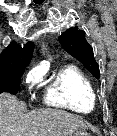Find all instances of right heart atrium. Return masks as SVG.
<instances>
[{
  "mask_svg": "<svg viewBox=\"0 0 117 136\" xmlns=\"http://www.w3.org/2000/svg\"><path fill=\"white\" fill-rule=\"evenodd\" d=\"M41 76L42 73L39 70H33L27 76V83L34 84L41 78Z\"/></svg>",
  "mask_w": 117,
  "mask_h": 136,
  "instance_id": "obj_1",
  "label": "right heart atrium"
}]
</instances>
